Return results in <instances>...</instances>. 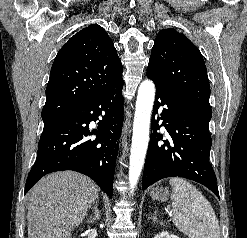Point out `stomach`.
Here are the masks:
<instances>
[{"label": "stomach", "mask_w": 247, "mask_h": 238, "mask_svg": "<svg viewBox=\"0 0 247 238\" xmlns=\"http://www.w3.org/2000/svg\"><path fill=\"white\" fill-rule=\"evenodd\" d=\"M150 196L153 200H157V201H166L168 199L169 196V191L166 187H153L150 190Z\"/></svg>", "instance_id": "obj_1"}]
</instances>
